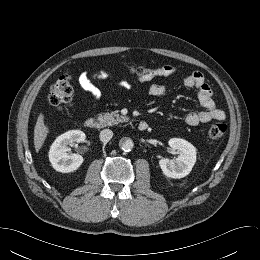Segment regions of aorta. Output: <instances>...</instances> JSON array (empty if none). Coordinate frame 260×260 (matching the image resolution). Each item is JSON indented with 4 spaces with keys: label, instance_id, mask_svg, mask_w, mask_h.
I'll use <instances>...</instances> for the list:
<instances>
[{
    "label": "aorta",
    "instance_id": "aorta-1",
    "mask_svg": "<svg viewBox=\"0 0 260 260\" xmlns=\"http://www.w3.org/2000/svg\"><path fill=\"white\" fill-rule=\"evenodd\" d=\"M119 146L123 151L129 152L134 147V142L130 138L121 139Z\"/></svg>",
    "mask_w": 260,
    "mask_h": 260
}]
</instances>
